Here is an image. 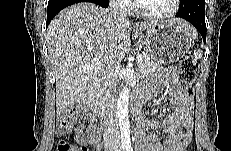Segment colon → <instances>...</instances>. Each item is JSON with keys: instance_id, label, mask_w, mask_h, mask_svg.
<instances>
[{"instance_id": "obj_1", "label": "colon", "mask_w": 231, "mask_h": 151, "mask_svg": "<svg viewBox=\"0 0 231 151\" xmlns=\"http://www.w3.org/2000/svg\"><path fill=\"white\" fill-rule=\"evenodd\" d=\"M198 72V64L191 57L183 58L179 63V75L182 81V92L188 97H192L194 93L193 83ZM79 119L77 109H68L63 111L58 116L57 132L61 137L66 136L72 129L73 125ZM186 147V146H185ZM183 147L182 149H185ZM57 151H86L84 147L76 145L65 138H61L57 144Z\"/></svg>"}]
</instances>
